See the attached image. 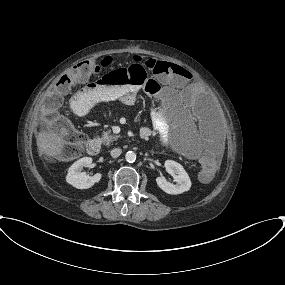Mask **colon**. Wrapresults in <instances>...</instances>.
<instances>
[{"instance_id":"5ec220e1","label":"colon","mask_w":285,"mask_h":285,"mask_svg":"<svg viewBox=\"0 0 285 285\" xmlns=\"http://www.w3.org/2000/svg\"><path fill=\"white\" fill-rule=\"evenodd\" d=\"M110 62L107 59L100 64L93 60H85L68 70L58 81H56L45 93L39 103L40 117L57 123L69 141L63 146L61 158L65 160L75 159L81 156L82 148L86 142V136L74 129L67 121L61 118V108L65 95L71 87L82 82L93 80L101 70H108ZM152 72L162 81L177 79L183 76L182 67L165 61L147 59L144 61L130 60L124 67L106 71L99 78V84L103 86H123L133 83L140 86L150 96L157 97L159 84L155 80H148L146 71ZM217 171V165L207 161L200 164L199 176L201 180H210Z\"/></svg>"}]
</instances>
